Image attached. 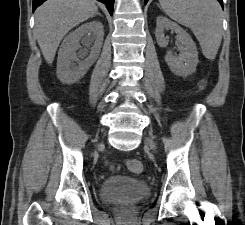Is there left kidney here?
Returning <instances> with one entry per match:
<instances>
[{"instance_id":"left-kidney-1","label":"left kidney","mask_w":245,"mask_h":225,"mask_svg":"<svg viewBox=\"0 0 245 225\" xmlns=\"http://www.w3.org/2000/svg\"><path fill=\"white\" fill-rule=\"evenodd\" d=\"M165 29H170L177 34V42L181 51L179 57L173 56L170 51L167 52L165 62L170 70L176 75L184 77L194 73L199 60L197 47L191 36L175 22L164 16H159L156 21L155 36L160 47H166L169 42L164 35Z\"/></svg>"}]
</instances>
